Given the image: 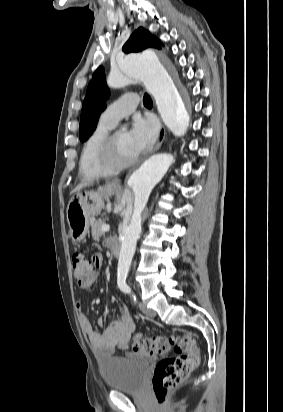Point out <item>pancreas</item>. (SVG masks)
<instances>
[{
    "instance_id": "cf45deb5",
    "label": "pancreas",
    "mask_w": 283,
    "mask_h": 412,
    "mask_svg": "<svg viewBox=\"0 0 283 412\" xmlns=\"http://www.w3.org/2000/svg\"><path fill=\"white\" fill-rule=\"evenodd\" d=\"M103 225H105V221L103 219H98L91 222L92 237L94 240H99L104 234L102 231Z\"/></svg>"
}]
</instances>
